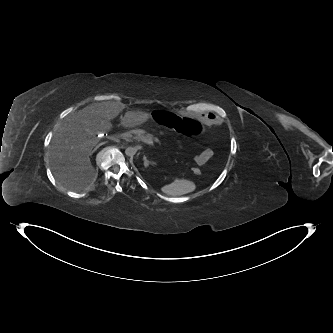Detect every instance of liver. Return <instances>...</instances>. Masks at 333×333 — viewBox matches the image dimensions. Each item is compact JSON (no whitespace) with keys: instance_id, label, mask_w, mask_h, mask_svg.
Listing matches in <instances>:
<instances>
[{"instance_id":"liver-1","label":"liver","mask_w":333,"mask_h":333,"mask_svg":"<svg viewBox=\"0 0 333 333\" xmlns=\"http://www.w3.org/2000/svg\"><path fill=\"white\" fill-rule=\"evenodd\" d=\"M125 108L121 102L91 104L65 118L54 133L48 152L55 179L71 190L87 188L96 179L90 155L98 140L95 134L111 131L112 120ZM150 118L142 111L127 110L121 120L124 128L141 126Z\"/></svg>"}]
</instances>
